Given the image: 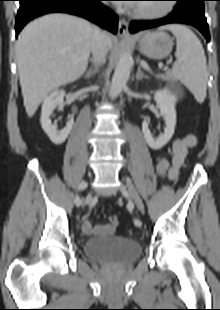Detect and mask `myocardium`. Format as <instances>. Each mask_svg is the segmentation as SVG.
<instances>
[{
    "label": "myocardium",
    "mask_w": 220,
    "mask_h": 310,
    "mask_svg": "<svg viewBox=\"0 0 220 310\" xmlns=\"http://www.w3.org/2000/svg\"><path fill=\"white\" fill-rule=\"evenodd\" d=\"M172 9V5H170L169 3H164L154 7V9L136 8L132 11V14L138 18L156 19L166 16L172 11Z\"/></svg>",
    "instance_id": "f54148a6"
}]
</instances>
